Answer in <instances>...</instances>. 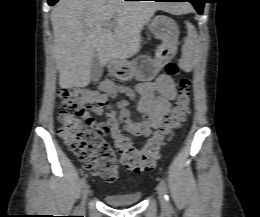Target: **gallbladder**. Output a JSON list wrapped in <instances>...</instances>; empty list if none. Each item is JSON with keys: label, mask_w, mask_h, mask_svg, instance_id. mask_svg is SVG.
Segmentation results:
<instances>
[{"label": "gallbladder", "mask_w": 260, "mask_h": 217, "mask_svg": "<svg viewBox=\"0 0 260 217\" xmlns=\"http://www.w3.org/2000/svg\"><path fill=\"white\" fill-rule=\"evenodd\" d=\"M103 74V66L99 62V59L97 56H95L91 63L90 68V79L93 82H98Z\"/></svg>", "instance_id": "bac80fb5"}]
</instances>
